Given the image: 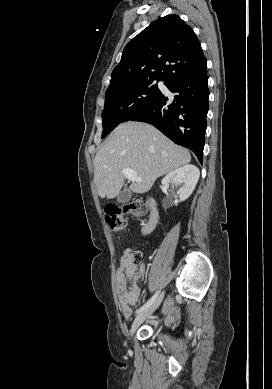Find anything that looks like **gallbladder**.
Segmentation results:
<instances>
[{
    "label": "gallbladder",
    "instance_id": "obj_1",
    "mask_svg": "<svg viewBox=\"0 0 272 389\" xmlns=\"http://www.w3.org/2000/svg\"><path fill=\"white\" fill-rule=\"evenodd\" d=\"M131 195L132 194H131L130 189L127 187H124V189L119 192V194L117 196V201L119 203H126L130 200Z\"/></svg>",
    "mask_w": 272,
    "mask_h": 389
}]
</instances>
